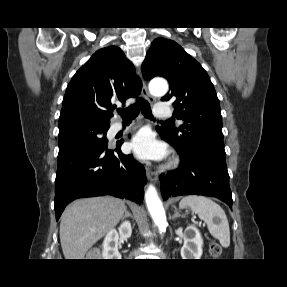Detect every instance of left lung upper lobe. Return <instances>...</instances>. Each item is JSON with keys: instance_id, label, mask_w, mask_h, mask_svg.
<instances>
[{"instance_id": "left-lung-upper-lobe-1", "label": "left lung upper lobe", "mask_w": 287, "mask_h": 287, "mask_svg": "<svg viewBox=\"0 0 287 287\" xmlns=\"http://www.w3.org/2000/svg\"><path fill=\"white\" fill-rule=\"evenodd\" d=\"M146 80L162 76L171 90L161 98L173 102L174 115L184 123L159 132L181 153L202 152L226 160L220 103L214 86L192 56L175 41L157 38L142 64Z\"/></svg>"}]
</instances>
